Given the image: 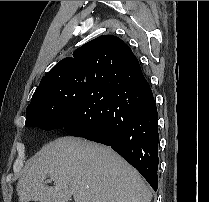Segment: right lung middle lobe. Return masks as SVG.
<instances>
[{
  "mask_svg": "<svg viewBox=\"0 0 209 202\" xmlns=\"http://www.w3.org/2000/svg\"><path fill=\"white\" fill-rule=\"evenodd\" d=\"M95 81V76L84 73L50 78L32 97L33 102L26 111L28 126L48 131L63 128L79 111Z\"/></svg>",
  "mask_w": 209,
  "mask_h": 202,
  "instance_id": "1",
  "label": "right lung middle lobe"
}]
</instances>
